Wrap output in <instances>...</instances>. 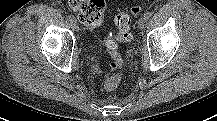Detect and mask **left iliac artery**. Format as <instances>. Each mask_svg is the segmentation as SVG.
Masks as SVG:
<instances>
[{
    "mask_svg": "<svg viewBox=\"0 0 217 121\" xmlns=\"http://www.w3.org/2000/svg\"><path fill=\"white\" fill-rule=\"evenodd\" d=\"M144 16H145L147 19H149V18L152 16V12L147 11V12L144 14Z\"/></svg>",
    "mask_w": 217,
    "mask_h": 121,
    "instance_id": "44dca946",
    "label": "left iliac artery"
}]
</instances>
